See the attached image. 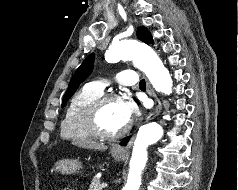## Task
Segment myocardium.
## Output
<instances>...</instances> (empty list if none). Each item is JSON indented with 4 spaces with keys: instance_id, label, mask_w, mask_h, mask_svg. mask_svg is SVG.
<instances>
[{
    "instance_id": "obj_1",
    "label": "myocardium",
    "mask_w": 238,
    "mask_h": 190,
    "mask_svg": "<svg viewBox=\"0 0 238 190\" xmlns=\"http://www.w3.org/2000/svg\"><path fill=\"white\" fill-rule=\"evenodd\" d=\"M114 100H121V98L116 94L101 95L94 101H92L85 109L83 113V124L92 136L105 140H113L125 135L129 131L131 127L130 122H128L124 127L115 132L106 131L101 126V111L108 102Z\"/></svg>"
}]
</instances>
